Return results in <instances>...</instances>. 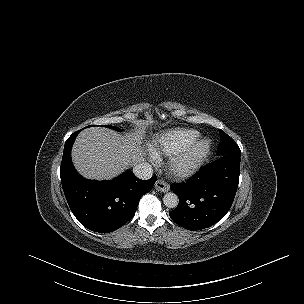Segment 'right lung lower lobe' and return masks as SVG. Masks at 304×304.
I'll use <instances>...</instances> for the list:
<instances>
[{"label": "right lung lower lobe", "instance_id": "1", "mask_svg": "<svg viewBox=\"0 0 304 304\" xmlns=\"http://www.w3.org/2000/svg\"><path fill=\"white\" fill-rule=\"evenodd\" d=\"M79 132L73 133L64 146L60 172L64 194L71 211L86 228L112 232L134 216L141 197L151 191L157 177L143 181L127 170L111 181L83 178L71 160V148Z\"/></svg>", "mask_w": 304, "mask_h": 304}]
</instances>
